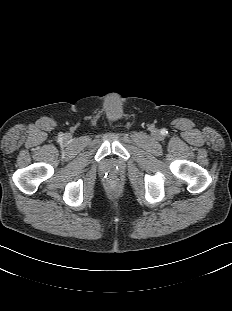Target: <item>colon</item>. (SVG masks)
Segmentation results:
<instances>
[{
  "label": "colon",
  "instance_id": "obj_1",
  "mask_svg": "<svg viewBox=\"0 0 232 311\" xmlns=\"http://www.w3.org/2000/svg\"><path fill=\"white\" fill-rule=\"evenodd\" d=\"M116 187H117L116 181H111V183H110V188H111V189H116Z\"/></svg>",
  "mask_w": 232,
  "mask_h": 311
}]
</instances>
